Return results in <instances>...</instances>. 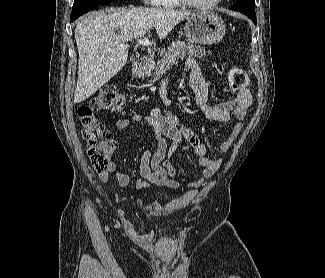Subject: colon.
Here are the masks:
<instances>
[{
	"label": "colon",
	"instance_id": "1",
	"mask_svg": "<svg viewBox=\"0 0 325 278\" xmlns=\"http://www.w3.org/2000/svg\"><path fill=\"white\" fill-rule=\"evenodd\" d=\"M228 80L232 89L237 92L247 85L248 76L242 68L232 67L228 73ZM124 107L125 96L115 86L103 88L90 101L78 107L77 115L83 139L87 142L88 156L98 172L107 170L116 143L110 131L96 117V113L121 112Z\"/></svg>",
	"mask_w": 325,
	"mask_h": 278
}]
</instances>
